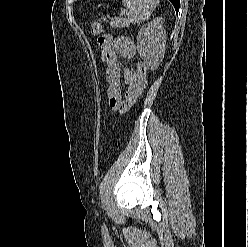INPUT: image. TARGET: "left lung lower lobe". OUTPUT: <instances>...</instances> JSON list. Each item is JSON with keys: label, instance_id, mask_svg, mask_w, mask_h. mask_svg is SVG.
Listing matches in <instances>:
<instances>
[{"label": "left lung lower lobe", "instance_id": "left-lung-lower-lobe-1", "mask_svg": "<svg viewBox=\"0 0 248 247\" xmlns=\"http://www.w3.org/2000/svg\"><path fill=\"white\" fill-rule=\"evenodd\" d=\"M170 1H171V3L173 4V6H174L176 12H178L180 0H170Z\"/></svg>", "mask_w": 248, "mask_h": 247}]
</instances>
